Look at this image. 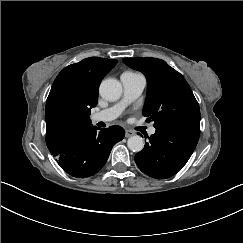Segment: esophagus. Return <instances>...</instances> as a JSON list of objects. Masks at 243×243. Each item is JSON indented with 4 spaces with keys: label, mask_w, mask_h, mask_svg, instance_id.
I'll return each mask as SVG.
<instances>
[{
    "label": "esophagus",
    "mask_w": 243,
    "mask_h": 243,
    "mask_svg": "<svg viewBox=\"0 0 243 243\" xmlns=\"http://www.w3.org/2000/svg\"><path fill=\"white\" fill-rule=\"evenodd\" d=\"M134 135H135V133L133 131H131V130H126L125 131V137L126 138H129V137L134 136Z\"/></svg>",
    "instance_id": "34e87169"
}]
</instances>
